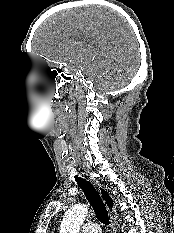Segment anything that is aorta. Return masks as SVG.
<instances>
[{
  "instance_id": "aorta-1",
  "label": "aorta",
  "mask_w": 174,
  "mask_h": 233,
  "mask_svg": "<svg viewBox=\"0 0 174 233\" xmlns=\"http://www.w3.org/2000/svg\"><path fill=\"white\" fill-rule=\"evenodd\" d=\"M86 214L87 207L83 204L69 208L63 216L60 233H79Z\"/></svg>"
}]
</instances>
